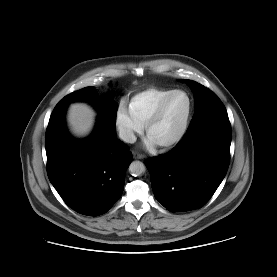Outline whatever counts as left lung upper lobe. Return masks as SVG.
Wrapping results in <instances>:
<instances>
[{
  "instance_id": "left-lung-upper-lobe-1",
  "label": "left lung upper lobe",
  "mask_w": 277,
  "mask_h": 277,
  "mask_svg": "<svg viewBox=\"0 0 277 277\" xmlns=\"http://www.w3.org/2000/svg\"><path fill=\"white\" fill-rule=\"evenodd\" d=\"M193 91L196 99V109L188 128L219 113H226V109L220 99L208 88L187 79H182Z\"/></svg>"
}]
</instances>
